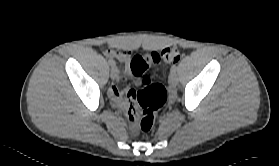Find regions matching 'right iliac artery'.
Returning <instances> with one entry per match:
<instances>
[{
  "label": "right iliac artery",
  "mask_w": 279,
  "mask_h": 166,
  "mask_svg": "<svg viewBox=\"0 0 279 166\" xmlns=\"http://www.w3.org/2000/svg\"><path fill=\"white\" fill-rule=\"evenodd\" d=\"M108 63L112 67H114L116 65V63H115V61L113 59H109Z\"/></svg>",
  "instance_id": "right-iliac-artery-1"
}]
</instances>
